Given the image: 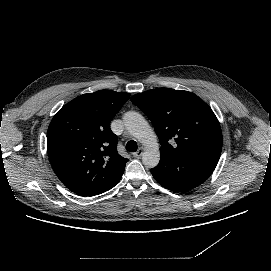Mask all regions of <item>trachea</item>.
<instances>
[{"label": "trachea", "instance_id": "3493384b", "mask_svg": "<svg viewBox=\"0 0 271 271\" xmlns=\"http://www.w3.org/2000/svg\"><path fill=\"white\" fill-rule=\"evenodd\" d=\"M137 147H138L137 143L134 140H130L126 144V150L129 151V152H135V151H137Z\"/></svg>", "mask_w": 271, "mask_h": 271}]
</instances>
